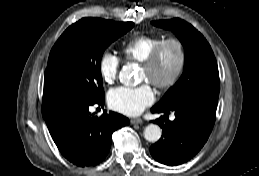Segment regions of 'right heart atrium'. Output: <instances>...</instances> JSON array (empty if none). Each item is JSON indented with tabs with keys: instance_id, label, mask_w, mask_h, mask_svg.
<instances>
[{
	"instance_id": "d8ad5b80",
	"label": "right heart atrium",
	"mask_w": 259,
	"mask_h": 176,
	"mask_svg": "<svg viewBox=\"0 0 259 176\" xmlns=\"http://www.w3.org/2000/svg\"><path fill=\"white\" fill-rule=\"evenodd\" d=\"M120 58L112 52L105 51L98 62V72L105 84H113L118 78Z\"/></svg>"
}]
</instances>
